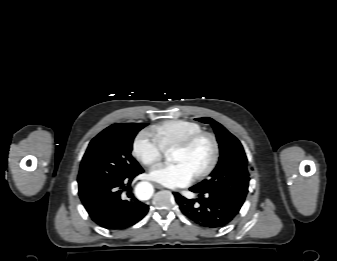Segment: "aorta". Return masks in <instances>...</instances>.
Here are the masks:
<instances>
[{
  "label": "aorta",
  "instance_id": "1",
  "mask_svg": "<svg viewBox=\"0 0 337 261\" xmlns=\"http://www.w3.org/2000/svg\"><path fill=\"white\" fill-rule=\"evenodd\" d=\"M135 194L140 200H148L153 194V186L149 182H140L135 187Z\"/></svg>",
  "mask_w": 337,
  "mask_h": 261
}]
</instances>
